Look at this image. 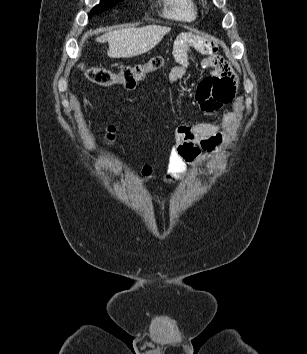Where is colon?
Masks as SVG:
<instances>
[{
  "label": "colon",
  "mask_w": 307,
  "mask_h": 354,
  "mask_svg": "<svg viewBox=\"0 0 307 354\" xmlns=\"http://www.w3.org/2000/svg\"><path fill=\"white\" fill-rule=\"evenodd\" d=\"M165 64L162 56H153L143 63L125 65L118 70L101 66H82L85 77L92 83L109 87L121 85L126 89H133L150 73L160 70Z\"/></svg>",
  "instance_id": "5ec220e1"
}]
</instances>
